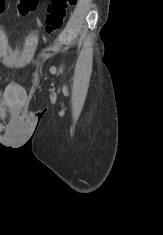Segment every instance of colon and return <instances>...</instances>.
<instances>
[{
    "label": "colon",
    "instance_id": "1",
    "mask_svg": "<svg viewBox=\"0 0 163 235\" xmlns=\"http://www.w3.org/2000/svg\"><path fill=\"white\" fill-rule=\"evenodd\" d=\"M38 3V0H18V12L21 15H28L37 8ZM76 3L77 0H50L45 18L46 32L52 33L61 28L67 9ZM4 6L5 0H0V12L4 9Z\"/></svg>",
    "mask_w": 163,
    "mask_h": 235
}]
</instances>
